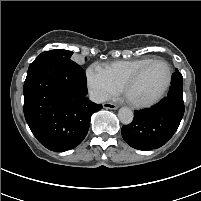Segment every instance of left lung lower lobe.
Returning <instances> with one entry per match:
<instances>
[{
  "instance_id": "1",
  "label": "left lung lower lobe",
  "mask_w": 201,
  "mask_h": 201,
  "mask_svg": "<svg viewBox=\"0 0 201 201\" xmlns=\"http://www.w3.org/2000/svg\"><path fill=\"white\" fill-rule=\"evenodd\" d=\"M183 77L176 69L168 95L150 109L135 111L133 121L122 127L123 139L138 150L163 146L176 132L184 114Z\"/></svg>"
}]
</instances>
